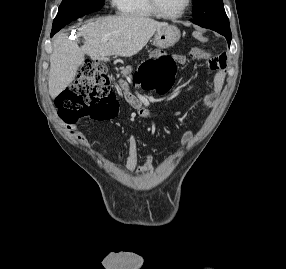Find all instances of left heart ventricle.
Returning <instances> with one entry per match:
<instances>
[{"mask_svg": "<svg viewBox=\"0 0 286 269\" xmlns=\"http://www.w3.org/2000/svg\"><path fill=\"white\" fill-rule=\"evenodd\" d=\"M186 0H158L161 10L169 15L176 14L181 11Z\"/></svg>", "mask_w": 286, "mask_h": 269, "instance_id": "b2bd125f", "label": "left heart ventricle"}]
</instances>
